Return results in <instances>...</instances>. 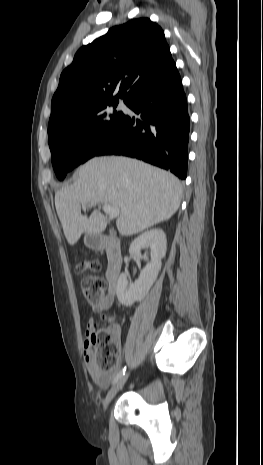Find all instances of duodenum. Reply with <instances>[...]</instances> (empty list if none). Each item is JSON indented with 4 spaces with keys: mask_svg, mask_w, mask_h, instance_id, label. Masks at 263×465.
I'll return each mask as SVG.
<instances>
[{
    "mask_svg": "<svg viewBox=\"0 0 263 465\" xmlns=\"http://www.w3.org/2000/svg\"><path fill=\"white\" fill-rule=\"evenodd\" d=\"M88 244L95 250H104L106 252V278L109 283V289L114 292L123 263L120 241L110 235H94L90 237Z\"/></svg>",
    "mask_w": 263,
    "mask_h": 465,
    "instance_id": "1",
    "label": "duodenum"
}]
</instances>
